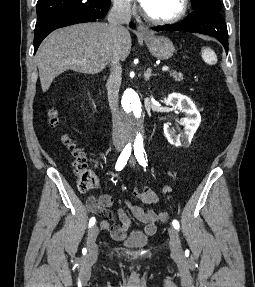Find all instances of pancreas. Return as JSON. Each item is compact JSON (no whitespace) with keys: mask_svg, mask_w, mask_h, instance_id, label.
I'll return each instance as SVG.
<instances>
[{"mask_svg":"<svg viewBox=\"0 0 255 287\" xmlns=\"http://www.w3.org/2000/svg\"><path fill=\"white\" fill-rule=\"evenodd\" d=\"M170 76H173V78H175L176 82H182V80H184L183 74H180V72H172V74H170Z\"/></svg>","mask_w":255,"mask_h":287,"instance_id":"cf45deb5","label":"pancreas"}]
</instances>
